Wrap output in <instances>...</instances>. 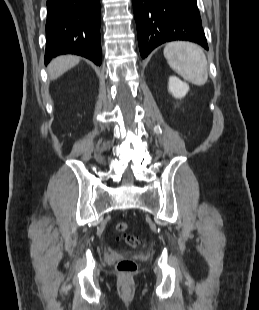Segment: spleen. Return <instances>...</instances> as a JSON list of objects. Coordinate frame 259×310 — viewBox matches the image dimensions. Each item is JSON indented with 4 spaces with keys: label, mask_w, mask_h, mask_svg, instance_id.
<instances>
[{
    "label": "spleen",
    "mask_w": 259,
    "mask_h": 310,
    "mask_svg": "<svg viewBox=\"0 0 259 310\" xmlns=\"http://www.w3.org/2000/svg\"><path fill=\"white\" fill-rule=\"evenodd\" d=\"M164 57L185 80L198 86L207 82L208 63L199 45L184 41L168 43L164 48Z\"/></svg>",
    "instance_id": "spleen-1"
}]
</instances>
